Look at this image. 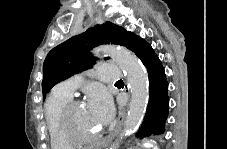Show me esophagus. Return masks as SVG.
Instances as JSON below:
<instances>
[{"label": "esophagus", "mask_w": 227, "mask_h": 149, "mask_svg": "<svg viewBox=\"0 0 227 149\" xmlns=\"http://www.w3.org/2000/svg\"><path fill=\"white\" fill-rule=\"evenodd\" d=\"M124 119H125V112H121L119 117H118L115 129L112 131V133L110 134L109 137H105L104 140L101 141L102 145H109L110 142L113 141L112 137L118 134V132L120 131V129L122 127Z\"/></svg>", "instance_id": "1"}]
</instances>
